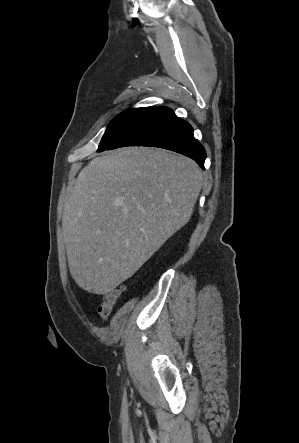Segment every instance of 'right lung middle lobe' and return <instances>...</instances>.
Returning a JSON list of instances; mask_svg holds the SVG:
<instances>
[{
  "label": "right lung middle lobe",
  "instance_id": "obj_1",
  "mask_svg": "<svg viewBox=\"0 0 299 443\" xmlns=\"http://www.w3.org/2000/svg\"><path fill=\"white\" fill-rule=\"evenodd\" d=\"M145 108L127 110L113 119L107 127L98 147V152L105 150L133 123Z\"/></svg>",
  "mask_w": 299,
  "mask_h": 443
}]
</instances>
